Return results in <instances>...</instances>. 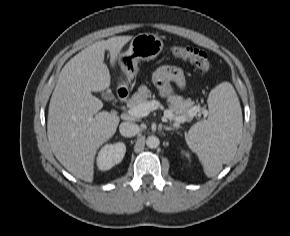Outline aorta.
Returning <instances> with one entry per match:
<instances>
[{
    "instance_id": "762f6f07",
    "label": "aorta",
    "mask_w": 290,
    "mask_h": 236,
    "mask_svg": "<svg viewBox=\"0 0 290 236\" xmlns=\"http://www.w3.org/2000/svg\"><path fill=\"white\" fill-rule=\"evenodd\" d=\"M159 144H160L159 138L154 135L148 136L146 139V145L151 149L157 148Z\"/></svg>"
}]
</instances>
